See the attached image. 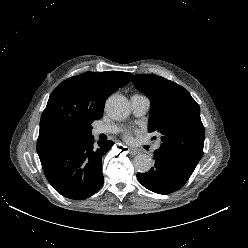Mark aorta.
<instances>
[{
	"instance_id": "aorta-1",
	"label": "aorta",
	"mask_w": 248,
	"mask_h": 248,
	"mask_svg": "<svg viewBox=\"0 0 248 248\" xmlns=\"http://www.w3.org/2000/svg\"><path fill=\"white\" fill-rule=\"evenodd\" d=\"M106 111L113 120H122L129 115L130 104L126 97L113 95L106 102ZM133 164L138 172L146 173L152 167V159L147 154H138L135 156Z\"/></svg>"
}]
</instances>
